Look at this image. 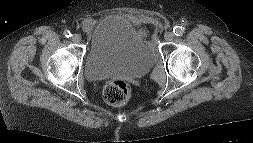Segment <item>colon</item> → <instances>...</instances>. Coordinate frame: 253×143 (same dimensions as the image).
<instances>
[{"mask_svg": "<svg viewBox=\"0 0 253 143\" xmlns=\"http://www.w3.org/2000/svg\"><path fill=\"white\" fill-rule=\"evenodd\" d=\"M132 96V88L125 81H113L104 89V98L107 103L114 106L126 104Z\"/></svg>", "mask_w": 253, "mask_h": 143, "instance_id": "1", "label": "colon"}]
</instances>
